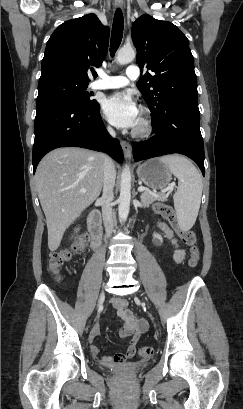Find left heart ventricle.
<instances>
[{"label": "left heart ventricle", "instance_id": "b2bd125f", "mask_svg": "<svg viewBox=\"0 0 243 409\" xmlns=\"http://www.w3.org/2000/svg\"><path fill=\"white\" fill-rule=\"evenodd\" d=\"M138 124H139V120H138V122H137L136 126H138Z\"/></svg>", "mask_w": 243, "mask_h": 409}]
</instances>
